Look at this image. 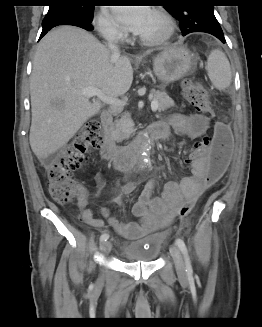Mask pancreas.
Returning <instances> with one entry per match:
<instances>
[{
	"instance_id": "pancreas-1",
	"label": "pancreas",
	"mask_w": 262,
	"mask_h": 327,
	"mask_svg": "<svg viewBox=\"0 0 262 327\" xmlns=\"http://www.w3.org/2000/svg\"><path fill=\"white\" fill-rule=\"evenodd\" d=\"M153 98L158 101V111H165L174 106V101L162 91L153 92ZM134 132V124L129 113H125L120 120L116 122L115 130L113 131L116 140H123L130 137Z\"/></svg>"
}]
</instances>
